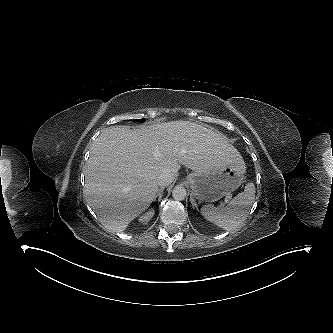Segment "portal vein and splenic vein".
I'll use <instances>...</instances> for the list:
<instances>
[{"instance_id": "18ae733b", "label": "portal vein and splenic vein", "mask_w": 333, "mask_h": 333, "mask_svg": "<svg viewBox=\"0 0 333 333\" xmlns=\"http://www.w3.org/2000/svg\"><path fill=\"white\" fill-rule=\"evenodd\" d=\"M225 202L227 203V202H228V199H226Z\"/></svg>"}]
</instances>
